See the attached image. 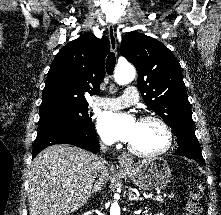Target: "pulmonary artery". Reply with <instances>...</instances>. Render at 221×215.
<instances>
[{"label":"pulmonary artery","instance_id":"pulmonary-artery-1","mask_svg":"<svg viewBox=\"0 0 221 215\" xmlns=\"http://www.w3.org/2000/svg\"><path fill=\"white\" fill-rule=\"evenodd\" d=\"M137 101V89L133 86H129L121 96L117 98H99L95 100L94 105L102 109L115 110L135 104Z\"/></svg>","mask_w":221,"mask_h":215}]
</instances>
